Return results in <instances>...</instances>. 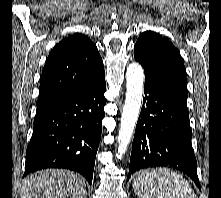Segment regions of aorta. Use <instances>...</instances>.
<instances>
[{
	"label": "aorta",
	"instance_id": "aorta-1",
	"mask_svg": "<svg viewBox=\"0 0 221 198\" xmlns=\"http://www.w3.org/2000/svg\"><path fill=\"white\" fill-rule=\"evenodd\" d=\"M126 98L121 115L116 156L121 159L130 143L137 122L143 94L144 71L139 63H131L126 71Z\"/></svg>",
	"mask_w": 221,
	"mask_h": 198
}]
</instances>
